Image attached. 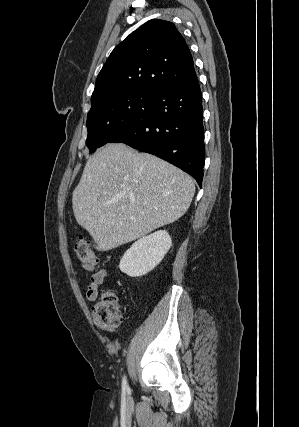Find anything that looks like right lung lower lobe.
Segmentation results:
<instances>
[{
  "mask_svg": "<svg viewBox=\"0 0 299 427\" xmlns=\"http://www.w3.org/2000/svg\"><path fill=\"white\" fill-rule=\"evenodd\" d=\"M202 95L198 80L159 90L147 110L109 143H125L193 176L199 186L205 159Z\"/></svg>",
  "mask_w": 299,
  "mask_h": 427,
  "instance_id": "right-lung-lower-lobe-1",
  "label": "right lung lower lobe"
}]
</instances>
